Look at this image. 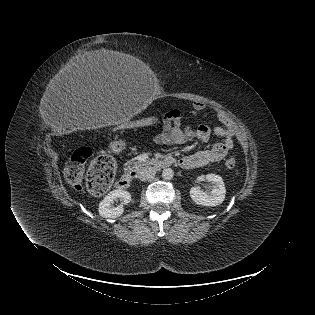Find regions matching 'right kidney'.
Segmentation results:
<instances>
[{
	"mask_svg": "<svg viewBox=\"0 0 315 315\" xmlns=\"http://www.w3.org/2000/svg\"><path fill=\"white\" fill-rule=\"evenodd\" d=\"M116 199L121 200V204L117 207L113 206ZM131 201V194L124 190H113L107 194L104 199L99 203V214L103 218H117L124 212L123 205Z\"/></svg>",
	"mask_w": 315,
	"mask_h": 315,
	"instance_id": "1",
	"label": "right kidney"
}]
</instances>
